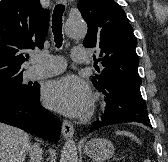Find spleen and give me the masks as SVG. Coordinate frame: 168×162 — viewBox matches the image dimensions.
Returning <instances> with one entry per match:
<instances>
[{
    "label": "spleen",
    "mask_w": 168,
    "mask_h": 162,
    "mask_svg": "<svg viewBox=\"0 0 168 162\" xmlns=\"http://www.w3.org/2000/svg\"><path fill=\"white\" fill-rule=\"evenodd\" d=\"M116 134L117 135H125V136H128V137H131L133 140L137 141L138 143L140 142L135 135H133L132 133H130L128 131H117ZM144 162H151V161L149 159H147Z\"/></svg>",
    "instance_id": "3e777b00"
}]
</instances>
